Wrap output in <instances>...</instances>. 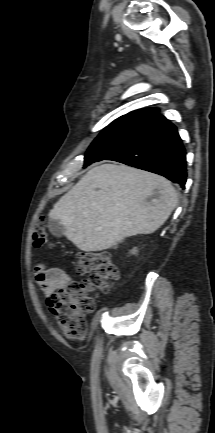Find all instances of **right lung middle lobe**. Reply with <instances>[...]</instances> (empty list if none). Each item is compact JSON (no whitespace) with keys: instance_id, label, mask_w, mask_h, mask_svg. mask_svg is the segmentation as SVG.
Listing matches in <instances>:
<instances>
[{"instance_id":"right-lung-middle-lobe-1","label":"right lung middle lobe","mask_w":215,"mask_h":433,"mask_svg":"<svg viewBox=\"0 0 215 433\" xmlns=\"http://www.w3.org/2000/svg\"><path fill=\"white\" fill-rule=\"evenodd\" d=\"M148 120L121 118L109 124L93 141L84 158V167L101 161L129 144Z\"/></svg>"}]
</instances>
